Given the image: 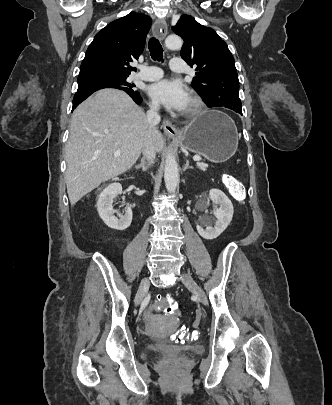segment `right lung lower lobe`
Segmentation results:
<instances>
[{
	"label": "right lung lower lobe",
	"instance_id": "obj_1",
	"mask_svg": "<svg viewBox=\"0 0 332 405\" xmlns=\"http://www.w3.org/2000/svg\"><path fill=\"white\" fill-rule=\"evenodd\" d=\"M103 88H115V87H111V86H94V87H89L83 90H77V92L74 95L73 98V108L72 111L82 102L84 101L87 97H89L93 92L103 89ZM120 90H124L121 88H117ZM126 93H128L130 95V97H132V99L137 103H141L142 98L139 94V92H131V91H127L124 90Z\"/></svg>",
	"mask_w": 332,
	"mask_h": 405
}]
</instances>
